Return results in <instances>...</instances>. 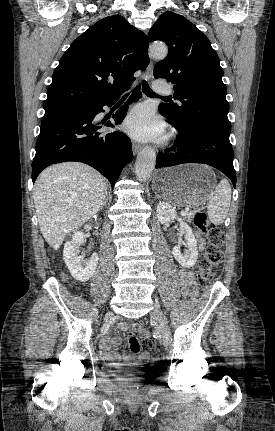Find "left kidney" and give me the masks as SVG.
I'll return each mask as SVG.
<instances>
[{"instance_id":"obj_1","label":"left kidney","mask_w":275,"mask_h":431,"mask_svg":"<svg viewBox=\"0 0 275 431\" xmlns=\"http://www.w3.org/2000/svg\"><path fill=\"white\" fill-rule=\"evenodd\" d=\"M157 218L161 224H166L176 219L180 223L181 233L185 238V245L187 249L182 252L180 246H174L172 254L180 265L186 268L193 267L198 258L197 242L194 237L193 231L190 226L177 217L176 211L166 202H159L157 204Z\"/></svg>"}]
</instances>
